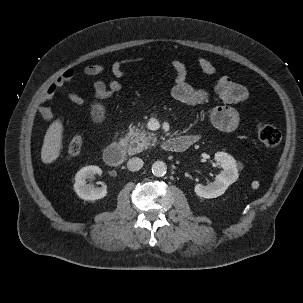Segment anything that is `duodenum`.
Wrapping results in <instances>:
<instances>
[{"label":"duodenum","instance_id":"obj_1","mask_svg":"<svg viewBox=\"0 0 303 303\" xmlns=\"http://www.w3.org/2000/svg\"><path fill=\"white\" fill-rule=\"evenodd\" d=\"M193 140L186 136L169 138L162 143V149L166 152L180 153L185 151ZM125 158V147L120 142L110 144L104 151V160L109 166H119Z\"/></svg>","mask_w":303,"mask_h":303}]
</instances>
